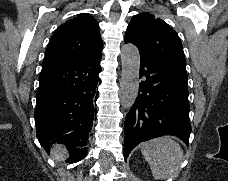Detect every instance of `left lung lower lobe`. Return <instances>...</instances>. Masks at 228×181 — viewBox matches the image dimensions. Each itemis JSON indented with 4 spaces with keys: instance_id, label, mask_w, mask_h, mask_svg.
<instances>
[{
    "instance_id": "left-lung-lower-lobe-1",
    "label": "left lung lower lobe",
    "mask_w": 228,
    "mask_h": 181,
    "mask_svg": "<svg viewBox=\"0 0 228 181\" xmlns=\"http://www.w3.org/2000/svg\"><path fill=\"white\" fill-rule=\"evenodd\" d=\"M136 101L124 122V157L143 141L172 135L189 143L191 125L186 69L165 59L140 54Z\"/></svg>"
}]
</instances>
